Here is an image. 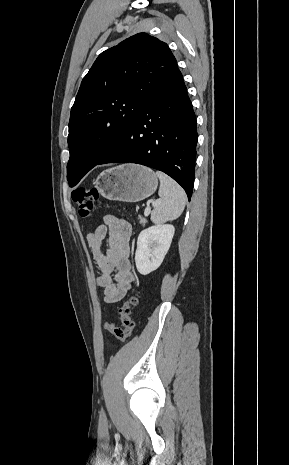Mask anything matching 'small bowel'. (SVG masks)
Wrapping results in <instances>:
<instances>
[{
  "label": "small bowel",
  "mask_w": 289,
  "mask_h": 465,
  "mask_svg": "<svg viewBox=\"0 0 289 465\" xmlns=\"http://www.w3.org/2000/svg\"><path fill=\"white\" fill-rule=\"evenodd\" d=\"M131 233L127 221L114 215H105L103 224L86 237L99 268L96 283L102 289L107 303L121 301L135 281L129 261Z\"/></svg>",
  "instance_id": "c3829d8e"
}]
</instances>
